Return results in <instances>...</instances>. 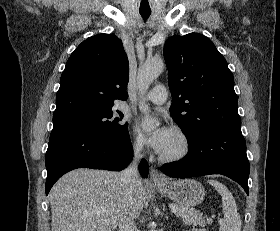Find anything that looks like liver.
I'll use <instances>...</instances> for the list:
<instances>
[{"label":"liver","mask_w":280,"mask_h":231,"mask_svg":"<svg viewBox=\"0 0 280 231\" xmlns=\"http://www.w3.org/2000/svg\"><path fill=\"white\" fill-rule=\"evenodd\" d=\"M121 171L79 167L62 175L49 197L52 231H112L124 215L139 217L146 185L122 187Z\"/></svg>","instance_id":"6515ba94"}]
</instances>
